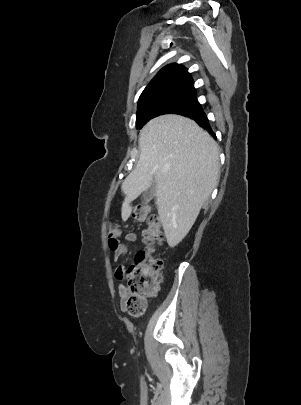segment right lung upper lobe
<instances>
[{
  "label": "right lung upper lobe",
  "instance_id": "cb5924a9",
  "mask_svg": "<svg viewBox=\"0 0 301 405\" xmlns=\"http://www.w3.org/2000/svg\"><path fill=\"white\" fill-rule=\"evenodd\" d=\"M175 89H194L193 79L181 64H170L161 69L142 92L139 102L152 95Z\"/></svg>",
  "mask_w": 301,
  "mask_h": 405
}]
</instances>
